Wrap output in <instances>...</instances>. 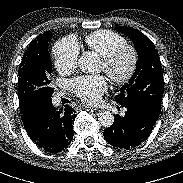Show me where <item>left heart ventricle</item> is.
Instances as JSON below:
<instances>
[{
    "label": "left heart ventricle",
    "mask_w": 183,
    "mask_h": 183,
    "mask_svg": "<svg viewBox=\"0 0 183 183\" xmlns=\"http://www.w3.org/2000/svg\"><path fill=\"white\" fill-rule=\"evenodd\" d=\"M129 64V56L127 54H124L123 56H121V58L117 61L115 69L118 73H122L124 72ZM101 68L103 69V63H101Z\"/></svg>",
    "instance_id": "1"
}]
</instances>
